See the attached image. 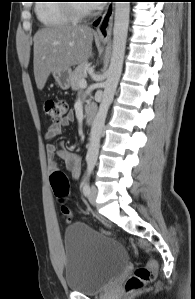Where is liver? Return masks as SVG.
I'll list each match as a JSON object with an SVG mask.
<instances>
[{
	"instance_id": "obj_1",
	"label": "liver",
	"mask_w": 195,
	"mask_h": 299,
	"mask_svg": "<svg viewBox=\"0 0 195 299\" xmlns=\"http://www.w3.org/2000/svg\"><path fill=\"white\" fill-rule=\"evenodd\" d=\"M94 31L85 25L45 27L34 35V76L42 90L50 73L62 71L93 57Z\"/></svg>"
}]
</instances>
